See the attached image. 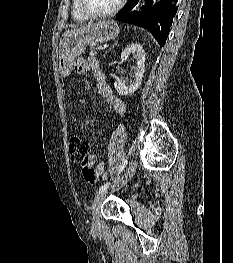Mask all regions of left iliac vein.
I'll list each match as a JSON object with an SVG mask.
<instances>
[{
	"mask_svg": "<svg viewBox=\"0 0 233 263\" xmlns=\"http://www.w3.org/2000/svg\"><path fill=\"white\" fill-rule=\"evenodd\" d=\"M137 164L134 162L132 163L127 170L125 171L124 175L120 177L116 183L112 187V191H116L126 185L131 178L134 176L136 172ZM107 196V191H104L96 196L92 205V227L94 229L99 228V212L103 201Z\"/></svg>",
	"mask_w": 233,
	"mask_h": 263,
	"instance_id": "left-iliac-vein-1",
	"label": "left iliac vein"
}]
</instances>
